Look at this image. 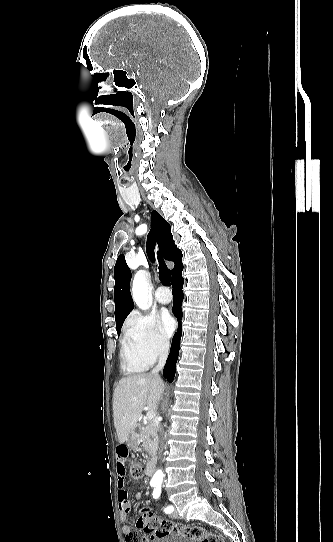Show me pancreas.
<instances>
[{"mask_svg":"<svg viewBox=\"0 0 333 542\" xmlns=\"http://www.w3.org/2000/svg\"><path fill=\"white\" fill-rule=\"evenodd\" d=\"M142 448L146 452L149 460H155L156 450L158 448V436L156 426L152 420H148V426H143L141 430Z\"/></svg>","mask_w":333,"mask_h":542,"instance_id":"obj_1","label":"pancreas"}]
</instances>
